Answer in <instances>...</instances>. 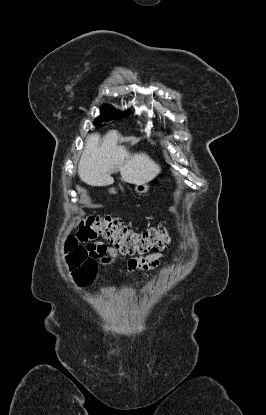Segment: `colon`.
I'll return each mask as SVG.
<instances>
[{"mask_svg": "<svg viewBox=\"0 0 266 415\" xmlns=\"http://www.w3.org/2000/svg\"><path fill=\"white\" fill-rule=\"evenodd\" d=\"M99 236L125 255L160 251L170 242L169 232L163 226L135 232L116 217L89 216L85 218L81 221L76 236L68 238L65 242L66 260L73 277L85 285L90 284L95 278L97 262L88 246L81 243Z\"/></svg>", "mask_w": 266, "mask_h": 415, "instance_id": "colon-1", "label": "colon"}]
</instances>
